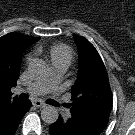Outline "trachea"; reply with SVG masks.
I'll return each mask as SVG.
<instances>
[{
    "mask_svg": "<svg viewBox=\"0 0 135 135\" xmlns=\"http://www.w3.org/2000/svg\"><path fill=\"white\" fill-rule=\"evenodd\" d=\"M20 99L21 100H26V99H28V96L26 94H21ZM47 103L50 104V105H53V106L58 105L57 102L54 101L53 99L48 100Z\"/></svg>",
    "mask_w": 135,
    "mask_h": 135,
    "instance_id": "trachea-1",
    "label": "trachea"
}]
</instances>
